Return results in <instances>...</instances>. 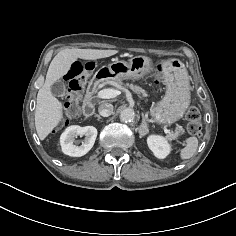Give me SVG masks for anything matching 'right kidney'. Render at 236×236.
Instances as JSON below:
<instances>
[{
	"instance_id": "obj_1",
	"label": "right kidney",
	"mask_w": 236,
	"mask_h": 236,
	"mask_svg": "<svg viewBox=\"0 0 236 236\" xmlns=\"http://www.w3.org/2000/svg\"><path fill=\"white\" fill-rule=\"evenodd\" d=\"M84 136L81 145H76L75 138ZM97 137V129L93 126L80 127L73 125L68 127L60 137V143L64 154L80 157L88 153L93 147Z\"/></svg>"
}]
</instances>
